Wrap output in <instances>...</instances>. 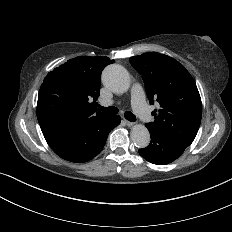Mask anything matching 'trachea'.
Returning a JSON list of instances; mask_svg holds the SVG:
<instances>
[{"mask_svg": "<svg viewBox=\"0 0 232 232\" xmlns=\"http://www.w3.org/2000/svg\"><path fill=\"white\" fill-rule=\"evenodd\" d=\"M98 109L104 113L111 114V115H115L118 113V109L116 107H107L106 108V107H102V106L98 105ZM124 116L130 122H135L137 120L135 115L133 113H131L130 111L126 112Z\"/></svg>", "mask_w": 232, "mask_h": 232, "instance_id": "3493384b", "label": "trachea"}]
</instances>
